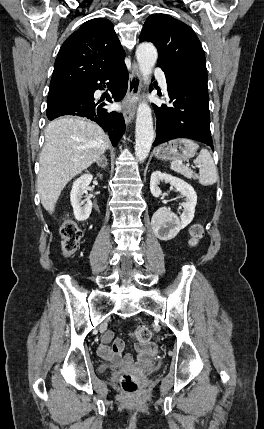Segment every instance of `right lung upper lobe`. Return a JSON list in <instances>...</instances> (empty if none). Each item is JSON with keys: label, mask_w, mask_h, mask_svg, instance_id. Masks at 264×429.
Wrapping results in <instances>:
<instances>
[{"label": "right lung upper lobe", "mask_w": 264, "mask_h": 429, "mask_svg": "<svg viewBox=\"0 0 264 429\" xmlns=\"http://www.w3.org/2000/svg\"><path fill=\"white\" fill-rule=\"evenodd\" d=\"M124 57L125 52L111 21L91 19L63 43L55 61L50 88L84 84Z\"/></svg>", "instance_id": "cb5924a9"}]
</instances>
